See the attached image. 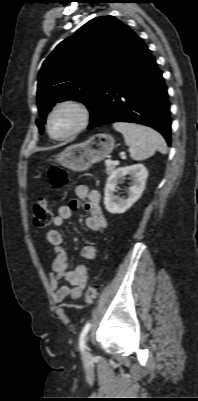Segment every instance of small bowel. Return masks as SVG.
<instances>
[{"mask_svg":"<svg viewBox=\"0 0 198 401\" xmlns=\"http://www.w3.org/2000/svg\"><path fill=\"white\" fill-rule=\"evenodd\" d=\"M76 195L78 200H72L59 207L58 213L52 221L55 228L49 230L46 235L55 254L48 280L56 303L78 299L88 281V270L85 265L81 264L73 269L70 267L67 252L63 247V235L58 228L63 225L64 221L70 219L79 208V200L86 202L85 208L89 215L85 220V225L89 231L102 233L107 227V221L100 206V193L97 190H90L85 185H79L76 187ZM81 255L86 260H95L98 251L93 245H85L81 249ZM63 279L67 284H61Z\"/></svg>","mask_w":198,"mask_h":401,"instance_id":"obj_1","label":"small bowel"}]
</instances>
